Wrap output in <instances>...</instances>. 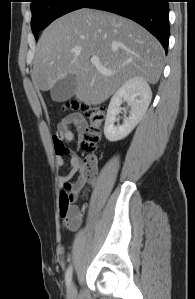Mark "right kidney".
Segmentation results:
<instances>
[{
	"mask_svg": "<svg viewBox=\"0 0 195 299\" xmlns=\"http://www.w3.org/2000/svg\"><path fill=\"white\" fill-rule=\"evenodd\" d=\"M151 98V88L144 78L133 77L126 81L111 98L104 126L105 137L115 142L128 136L143 118ZM123 102L131 108L129 116L124 117L122 125H115Z\"/></svg>",
	"mask_w": 195,
	"mask_h": 299,
	"instance_id": "obj_1",
	"label": "right kidney"
}]
</instances>
